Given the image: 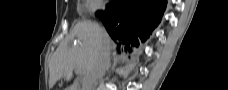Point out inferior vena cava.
<instances>
[{
	"label": "inferior vena cava",
	"instance_id": "1",
	"mask_svg": "<svg viewBox=\"0 0 228 90\" xmlns=\"http://www.w3.org/2000/svg\"><path fill=\"white\" fill-rule=\"evenodd\" d=\"M104 30V29H103ZM105 31V30H104ZM106 32V31H105ZM110 66L109 52L103 48L83 81V90H95L97 80L102 78Z\"/></svg>",
	"mask_w": 228,
	"mask_h": 90
}]
</instances>
